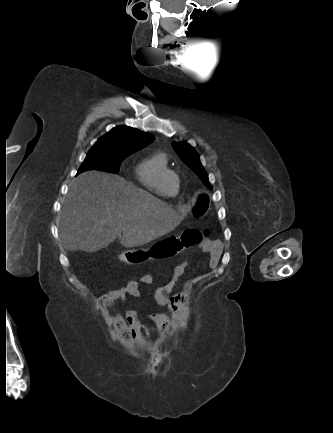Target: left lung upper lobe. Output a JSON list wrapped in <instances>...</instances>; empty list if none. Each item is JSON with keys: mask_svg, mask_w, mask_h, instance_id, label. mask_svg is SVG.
Returning a JSON list of instances; mask_svg holds the SVG:
<instances>
[{"mask_svg": "<svg viewBox=\"0 0 333 433\" xmlns=\"http://www.w3.org/2000/svg\"><path fill=\"white\" fill-rule=\"evenodd\" d=\"M172 147L179 155L181 160L186 163L196 174H198L202 181L211 188L208 182V176L204 172L199 160V156L195 149L185 142L173 143Z\"/></svg>", "mask_w": 333, "mask_h": 433, "instance_id": "obj_1", "label": "left lung upper lobe"}]
</instances>
